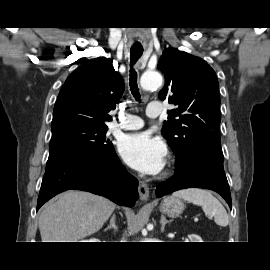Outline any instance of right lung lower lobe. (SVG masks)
<instances>
[{
  "mask_svg": "<svg viewBox=\"0 0 270 270\" xmlns=\"http://www.w3.org/2000/svg\"><path fill=\"white\" fill-rule=\"evenodd\" d=\"M69 189L102 195L118 205L132 207L138 199V181L121 164L115 151L60 147L50 151L37 210Z\"/></svg>",
  "mask_w": 270,
  "mask_h": 270,
  "instance_id": "98d812e1",
  "label": "right lung lower lobe"
}]
</instances>
